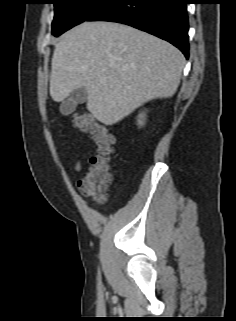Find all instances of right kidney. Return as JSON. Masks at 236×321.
<instances>
[{
	"instance_id": "1",
	"label": "right kidney",
	"mask_w": 236,
	"mask_h": 321,
	"mask_svg": "<svg viewBox=\"0 0 236 321\" xmlns=\"http://www.w3.org/2000/svg\"><path fill=\"white\" fill-rule=\"evenodd\" d=\"M145 121V113H141L138 116V125L142 126L144 124Z\"/></svg>"
}]
</instances>
